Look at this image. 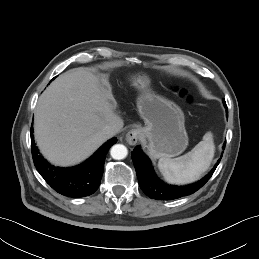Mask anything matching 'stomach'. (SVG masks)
<instances>
[{
    "label": "stomach",
    "mask_w": 259,
    "mask_h": 259,
    "mask_svg": "<svg viewBox=\"0 0 259 259\" xmlns=\"http://www.w3.org/2000/svg\"><path fill=\"white\" fill-rule=\"evenodd\" d=\"M132 83L141 91L137 106L146 126L140 133L148 140L149 154L154 158L181 154L188 145L182 110L175 103L151 93L147 76L139 74L132 78Z\"/></svg>",
    "instance_id": "stomach-1"
}]
</instances>
